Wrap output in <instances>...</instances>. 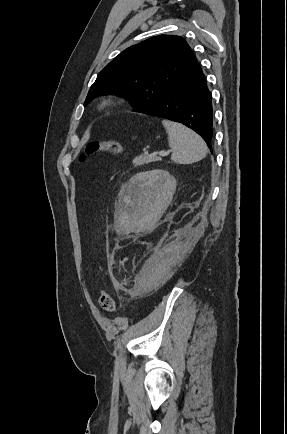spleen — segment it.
<instances>
[{
  "label": "spleen",
  "mask_w": 287,
  "mask_h": 434,
  "mask_svg": "<svg viewBox=\"0 0 287 434\" xmlns=\"http://www.w3.org/2000/svg\"><path fill=\"white\" fill-rule=\"evenodd\" d=\"M168 133L169 146L173 153L171 159L178 164H191L206 157L208 148L204 140L191 129L180 123L162 121Z\"/></svg>",
  "instance_id": "spleen-1"
}]
</instances>
